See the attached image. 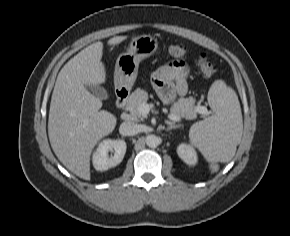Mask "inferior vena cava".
Wrapping results in <instances>:
<instances>
[{
    "instance_id": "inferior-vena-cava-1",
    "label": "inferior vena cava",
    "mask_w": 290,
    "mask_h": 236,
    "mask_svg": "<svg viewBox=\"0 0 290 236\" xmlns=\"http://www.w3.org/2000/svg\"><path fill=\"white\" fill-rule=\"evenodd\" d=\"M119 131L123 136H133L139 132V127L134 122H123L120 125Z\"/></svg>"
}]
</instances>
